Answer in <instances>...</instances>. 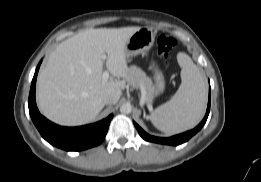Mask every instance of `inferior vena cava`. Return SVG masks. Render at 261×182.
Wrapping results in <instances>:
<instances>
[{
	"instance_id": "obj_1",
	"label": "inferior vena cava",
	"mask_w": 261,
	"mask_h": 182,
	"mask_svg": "<svg viewBox=\"0 0 261 182\" xmlns=\"http://www.w3.org/2000/svg\"><path fill=\"white\" fill-rule=\"evenodd\" d=\"M102 101L104 104L110 105L113 103V98L110 95H105V96H103Z\"/></svg>"
}]
</instances>
